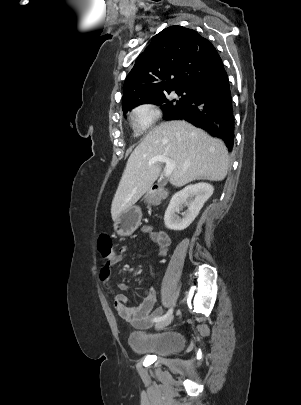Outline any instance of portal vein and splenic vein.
Instances as JSON below:
<instances>
[{
    "mask_svg": "<svg viewBox=\"0 0 301 405\" xmlns=\"http://www.w3.org/2000/svg\"><path fill=\"white\" fill-rule=\"evenodd\" d=\"M157 162L166 164L164 168V176L169 177L175 168V162L165 155H157L149 160L148 165L151 166Z\"/></svg>",
    "mask_w": 301,
    "mask_h": 405,
    "instance_id": "18ae733b",
    "label": "portal vein and splenic vein"
}]
</instances>
